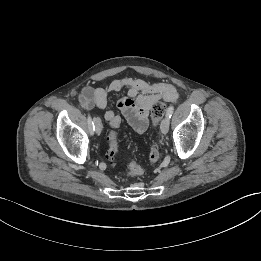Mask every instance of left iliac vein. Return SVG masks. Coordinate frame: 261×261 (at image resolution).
<instances>
[{"label": "left iliac vein", "instance_id": "left-iliac-vein-1", "mask_svg": "<svg viewBox=\"0 0 261 261\" xmlns=\"http://www.w3.org/2000/svg\"><path fill=\"white\" fill-rule=\"evenodd\" d=\"M160 129L162 134H167L168 130H169V119L166 117L162 120L161 125H160Z\"/></svg>", "mask_w": 261, "mask_h": 261}]
</instances>
